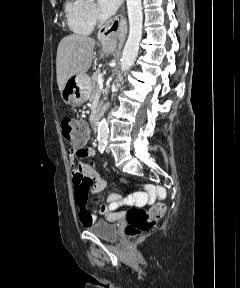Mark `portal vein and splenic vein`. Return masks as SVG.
I'll list each match as a JSON object with an SVG mask.
<instances>
[{"mask_svg": "<svg viewBox=\"0 0 240 288\" xmlns=\"http://www.w3.org/2000/svg\"><path fill=\"white\" fill-rule=\"evenodd\" d=\"M99 89L102 90L103 89V84H102V79H99Z\"/></svg>", "mask_w": 240, "mask_h": 288, "instance_id": "obj_1", "label": "portal vein and splenic vein"}]
</instances>
